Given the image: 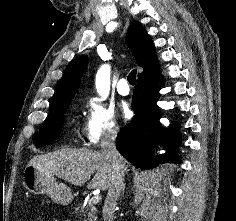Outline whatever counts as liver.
Masks as SVG:
<instances>
[{"instance_id":"6515ba94","label":"liver","mask_w":236,"mask_h":221,"mask_svg":"<svg viewBox=\"0 0 236 221\" xmlns=\"http://www.w3.org/2000/svg\"><path fill=\"white\" fill-rule=\"evenodd\" d=\"M28 165L56 175L75 186L88 182V189L107 190L112 170L101 152L86 148H62L52 153L33 157Z\"/></svg>"}]
</instances>
